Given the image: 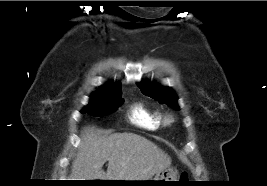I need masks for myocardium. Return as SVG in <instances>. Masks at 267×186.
Here are the masks:
<instances>
[{"mask_svg":"<svg viewBox=\"0 0 267 186\" xmlns=\"http://www.w3.org/2000/svg\"><path fill=\"white\" fill-rule=\"evenodd\" d=\"M175 120V116L173 113H166L164 116H163V123L165 125H170L174 122Z\"/></svg>","mask_w":267,"mask_h":186,"instance_id":"obj_1","label":"myocardium"}]
</instances>
